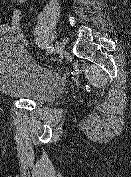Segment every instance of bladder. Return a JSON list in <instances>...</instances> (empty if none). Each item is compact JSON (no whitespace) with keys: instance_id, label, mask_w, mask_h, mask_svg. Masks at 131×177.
I'll use <instances>...</instances> for the list:
<instances>
[{"instance_id":"obj_1","label":"bladder","mask_w":131,"mask_h":177,"mask_svg":"<svg viewBox=\"0 0 131 177\" xmlns=\"http://www.w3.org/2000/svg\"><path fill=\"white\" fill-rule=\"evenodd\" d=\"M56 70L37 63L16 38L0 40V92L34 102H48L64 92Z\"/></svg>"}]
</instances>
